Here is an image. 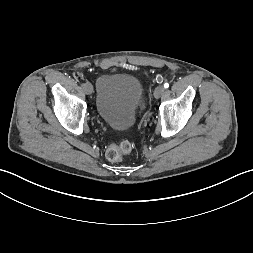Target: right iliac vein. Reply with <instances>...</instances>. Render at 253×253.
Returning a JSON list of instances; mask_svg holds the SVG:
<instances>
[{
	"label": "right iliac vein",
	"instance_id": "1",
	"mask_svg": "<svg viewBox=\"0 0 253 253\" xmlns=\"http://www.w3.org/2000/svg\"><path fill=\"white\" fill-rule=\"evenodd\" d=\"M84 92L87 94V95H90L92 94L93 92V87L90 83H86L85 87H84Z\"/></svg>",
	"mask_w": 253,
	"mask_h": 253
}]
</instances>
